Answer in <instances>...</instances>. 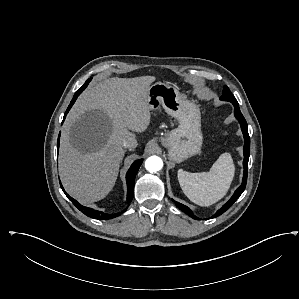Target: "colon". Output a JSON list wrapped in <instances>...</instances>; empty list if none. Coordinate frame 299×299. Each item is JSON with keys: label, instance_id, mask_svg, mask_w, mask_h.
Here are the masks:
<instances>
[{"label": "colon", "instance_id": "5ec220e1", "mask_svg": "<svg viewBox=\"0 0 299 299\" xmlns=\"http://www.w3.org/2000/svg\"><path fill=\"white\" fill-rule=\"evenodd\" d=\"M223 133H224V135H228V131H224Z\"/></svg>", "mask_w": 299, "mask_h": 299}]
</instances>
